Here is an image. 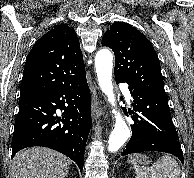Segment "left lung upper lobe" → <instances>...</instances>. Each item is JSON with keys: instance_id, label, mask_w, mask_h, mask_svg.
I'll return each instance as SVG.
<instances>
[{"instance_id": "left-lung-upper-lobe-1", "label": "left lung upper lobe", "mask_w": 194, "mask_h": 178, "mask_svg": "<svg viewBox=\"0 0 194 178\" xmlns=\"http://www.w3.org/2000/svg\"><path fill=\"white\" fill-rule=\"evenodd\" d=\"M102 45L114 51L117 81L165 92L158 56L150 41L136 28L115 22L104 34Z\"/></svg>"}]
</instances>
